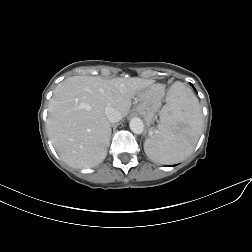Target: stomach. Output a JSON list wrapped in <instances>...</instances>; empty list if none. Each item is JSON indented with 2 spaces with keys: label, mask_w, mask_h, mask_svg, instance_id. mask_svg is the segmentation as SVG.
<instances>
[{
  "label": "stomach",
  "mask_w": 252,
  "mask_h": 252,
  "mask_svg": "<svg viewBox=\"0 0 252 252\" xmlns=\"http://www.w3.org/2000/svg\"><path fill=\"white\" fill-rule=\"evenodd\" d=\"M165 95L164 87L153 84L137 94V106L135 110L142 115L148 123H151L155 114L161 107L162 98ZM161 114V112H160Z\"/></svg>",
  "instance_id": "obj_1"
}]
</instances>
